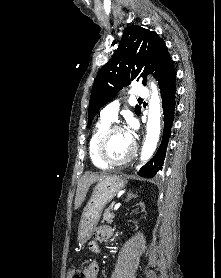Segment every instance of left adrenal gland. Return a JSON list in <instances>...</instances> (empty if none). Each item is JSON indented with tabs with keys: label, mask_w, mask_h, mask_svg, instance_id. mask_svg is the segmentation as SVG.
<instances>
[{
	"label": "left adrenal gland",
	"mask_w": 221,
	"mask_h": 278,
	"mask_svg": "<svg viewBox=\"0 0 221 278\" xmlns=\"http://www.w3.org/2000/svg\"><path fill=\"white\" fill-rule=\"evenodd\" d=\"M136 197H137V195H135V194H133V193H127V199H126V201H129L130 199L136 198Z\"/></svg>",
	"instance_id": "left-adrenal-gland-1"
}]
</instances>
